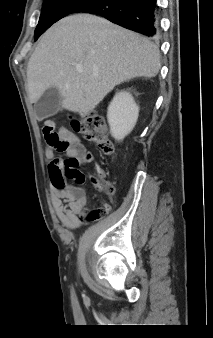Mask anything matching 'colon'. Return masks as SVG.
<instances>
[{"instance_id": "obj_1", "label": "colon", "mask_w": 213, "mask_h": 338, "mask_svg": "<svg viewBox=\"0 0 213 338\" xmlns=\"http://www.w3.org/2000/svg\"><path fill=\"white\" fill-rule=\"evenodd\" d=\"M73 125L84 138L96 146L103 154L110 155L114 151L113 143L110 140L104 120L98 116H88L85 118L74 119ZM70 147L68 141H63L59 145V151L63 152ZM48 175L52 185L58 186L60 182L72 180L79 184L88 182L95 190L101 191L106 195L113 193V187L103 179V171L99 165H96L94 171L85 175L78 168V160L71 157L65 160L63 165H59L53 160L48 165ZM108 202L102 203L89 212L88 220L93 222L106 216L110 211Z\"/></svg>"}]
</instances>
